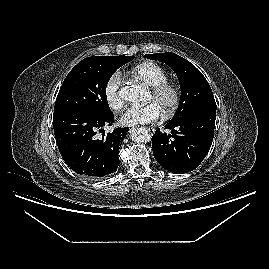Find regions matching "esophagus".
Listing matches in <instances>:
<instances>
[{"label": "esophagus", "instance_id": "34e87169", "mask_svg": "<svg viewBox=\"0 0 269 269\" xmlns=\"http://www.w3.org/2000/svg\"><path fill=\"white\" fill-rule=\"evenodd\" d=\"M147 130L151 134L155 133V129L153 127H147Z\"/></svg>", "mask_w": 269, "mask_h": 269}]
</instances>
